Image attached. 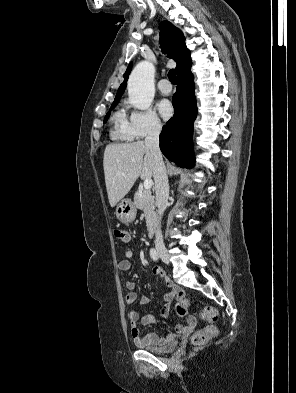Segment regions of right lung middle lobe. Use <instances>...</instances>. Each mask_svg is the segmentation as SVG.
I'll list each match as a JSON object with an SVG mask.
<instances>
[{
  "instance_id": "obj_1",
  "label": "right lung middle lobe",
  "mask_w": 296,
  "mask_h": 393,
  "mask_svg": "<svg viewBox=\"0 0 296 393\" xmlns=\"http://www.w3.org/2000/svg\"><path fill=\"white\" fill-rule=\"evenodd\" d=\"M117 104H118V101L113 102L110 109L112 110ZM109 116H110V111L106 114L104 122H106V120L109 118Z\"/></svg>"
}]
</instances>
